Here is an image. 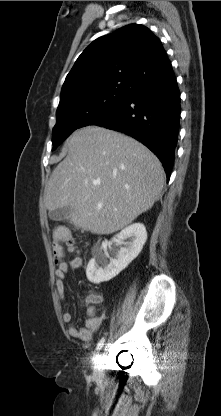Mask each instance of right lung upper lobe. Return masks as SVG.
Segmentation results:
<instances>
[{
	"label": "right lung upper lobe",
	"mask_w": 221,
	"mask_h": 416,
	"mask_svg": "<svg viewBox=\"0 0 221 416\" xmlns=\"http://www.w3.org/2000/svg\"><path fill=\"white\" fill-rule=\"evenodd\" d=\"M170 69L159 38L145 26L131 24L83 51L66 77L59 105L109 88L135 90L165 79Z\"/></svg>",
	"instance_id": "right-lung-upper-lobe-1"
}]
</instances>
